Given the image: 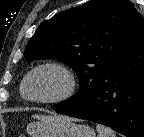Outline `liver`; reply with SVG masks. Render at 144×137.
Wrapping results in <instances>:
<instances>
[{"label": "liver", "mask_w": 144, "mask_h": 137, "mask_svg": "<svg viewBox=\"0 0 144 137\" xmlns=\"http://www.w3.org/2000/svg\"><path fill=\"white\" fill-rule=\"evenodd\" d=\"M34 119H37V120H40V121H45V120H49V119H52L54 117H57L56 115L55 116H48V115H33L32 116Z\"/></svg>", "instance_id": "obj_1"}]
</instances>
